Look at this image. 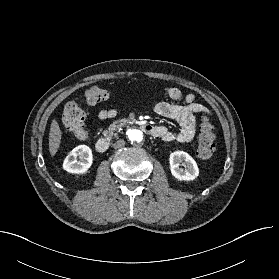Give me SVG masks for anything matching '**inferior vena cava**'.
I'll return each instance as SVG.
<instances>
[{"label": "inferior vena cava", "instance_id": "inferior-vena-cava-1", "mask_svg": "<svg viewBox=\"0 0 279 279\" xmlns=\"http://www.w3.org/2000/svg\"><path fill=\"white\" fill-rule=\"evenodd\" d=\"M124 145H125V141L123 139H120L113 146H114V148H121Z\"/></svg>", "mask_w": 279, "mask_h": 279}]
</instances>
